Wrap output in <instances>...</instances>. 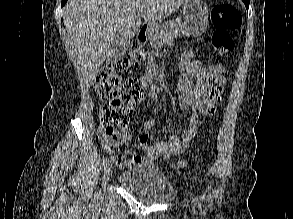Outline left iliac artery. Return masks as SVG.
I'll use <instances>...</instances> for the list:
<instances>
[{
    "label": "left iliac artery",
    "instance_id": "1",
    "mask_svg": "<svg viewBox=\"0 0 293 219\" xmlns=\"http://www.w3.org/2000/svg\"><path fill=\"white\" fill-rule=\"evenodd\" d=\"M194 201H196L197 202V204H198V208H199V211H200V214L202 215V205H201V202H200V200H199V198L198 197H195L194 198Z\"/></svg>",
    "mask_w": 293,
    "mask_h": 219
}]
</instances>
